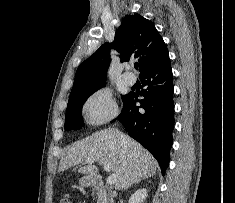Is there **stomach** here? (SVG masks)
I'll use <instances>...</instances> for the list:
<instances>
[{
	"label": "stomach",
	"instance_id": "obj_1",
	"mask_svg": "<svg viewBox=\"0 0 235 203\" xmlns=\"http://www.w3.org/2000/svg\"><path fill=\"white\" fill-rule=\"evenodd\" d=\"M79 184L82 187H90L95 184V176L86 175L79 180Z\"/></svg>",
	"mask_w": 235,
	"mask_h": 203
}]
</instances>
